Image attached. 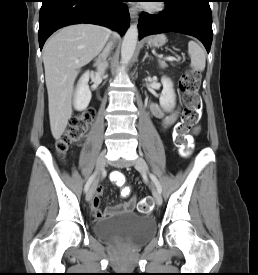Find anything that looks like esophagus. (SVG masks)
Listing matches in <instances>:
<instances>
[{"label":"esophagus","mask_w":258,"mask_h":275,"mask_svg":"<svg viewBox=\"0 0 258 275\" xmlns=\"http://www.w3.org/2000/svg\"><path fill=\"white\" fill-rule=\"evenodd\" d=\"M129 14L132 21L137 20L138 18V9L134 6L129 8Z\"/></svg>","instance_id":"obj_1"}]
</instances>
